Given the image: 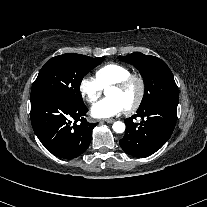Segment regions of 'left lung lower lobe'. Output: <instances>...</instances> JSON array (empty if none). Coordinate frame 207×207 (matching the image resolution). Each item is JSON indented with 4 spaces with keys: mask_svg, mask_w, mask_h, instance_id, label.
Returning <instances> with one entry per match:
<instances>
[{
    "mask_svg": "<svg viewBox=\"0 0 207 207\" xmlns=\"http://www.w3.org/2000/svg\"><path fill=\"white\" fill-rule=\"evenodd\" d=\"M178 99L154 102L125 120L126 132L119 141L122 149L135 157H146L159 150L170 138L177 119ZM140 117L139 123L134 122Z\"/></svg>",
    "mask_w": 207,
    "mask_h": 207,
    "instance_id": "1",
    "label": "left lung lower lobe"
}]
</instances>
